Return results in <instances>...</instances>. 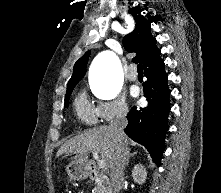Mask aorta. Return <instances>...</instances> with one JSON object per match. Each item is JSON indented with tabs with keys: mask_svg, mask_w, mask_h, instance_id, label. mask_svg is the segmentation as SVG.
Instances as JSON below:
<instances>
[{
	"mask_svg": "<svg viewBox=\"0 0 221 193\" xmlns=\"http://www.w3.org/2000/svg\"><path fill=\"white\" fill-rule=\"evenodd\" d=\"M92 71L95 81V94L105 100H111L118 96L122 84L121 63L112 51L100 53L92 63Z\"/></svg>",
	"mask_w": 221,
	"mask_h": 193,
	"instance_id": "aorta-1",
	"label": "aorta"
}]
</instances>
